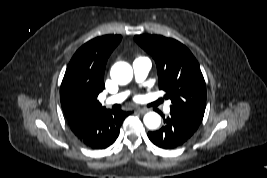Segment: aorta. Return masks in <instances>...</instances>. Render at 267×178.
<instances>
[{
  "mask_svg": "<svg viewBox=\"0 0 267 178\" xmlns=\"http://www.w3.org/2000/svg\"><path fill=\"white\" fill-rule=\"evenodd\" d=\"M110 75L117 84L126 85L133 78V69L126 62H117L112 66ZM143 121L147 128L156 129L161 123V117L156 112H148L145 114Z\"/></svg>",
  "mask_w": 267,
  "mask_h": 178,
  "instance_id": "aorta-1",
  "label": "aorta"
}]
</instances>
